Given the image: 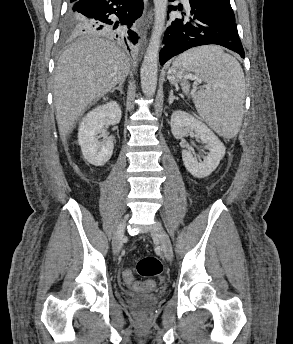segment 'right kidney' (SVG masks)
<instances>
[{
  "mask_svg": "<svg viewBox=\"0 0 293 344\" xmlns=\"http://www.w3.org/2000/svg\"><path fill=\"white\" fill-rule=\"evenodd\" d=\"M121 115L119 104L110 101L95 107L82 119L78 131V143L88 163L98 167L109 161L114 144L107 136L106 126L118 124ZM98 134H102V141H98Z\"/></svg>",
  "mask_w": 293,
  "mask_h": 344,
  "instance_id": "ca27d5eb",
  "label": "right kidney"
}]
</instances>
